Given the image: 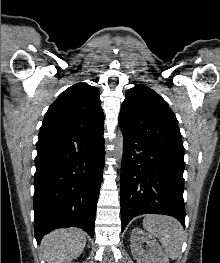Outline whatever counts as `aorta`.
I'll return each instance as SVG.
<instances>
[{"mask_svg":"<svg viewBox=\"0 0 220 263\" xmlns=\"http://www.w3.org/2000/svg\"><path fill=\"white\" fill-rule=\"evenodd\" d=\"M123 140H124L123 135L121 131H119L115 139V146H116L115 155L119 162L122 161V157H123Z\"/></svg>","mask_w":220,"mask_h":263,"instance_id":"obj_1","label":"aorta"}]
</instances>
